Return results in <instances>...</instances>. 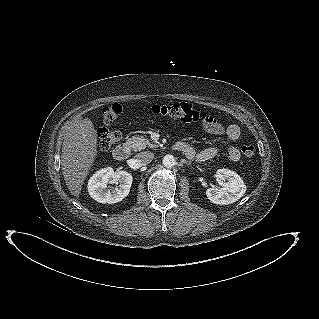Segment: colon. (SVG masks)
<instances>
[{"label": "colon", "instance_id": "1", "mask_svg": "<svg viewBox=\"0 0 319 319\" xmlns=\"http://www.w3.org/2000/svg\"><path fill=\"white\" fill-rule=\"evenodd\" d=\"M122 112V106L118 103L107 105L102 110L104 122L112 123ZM149 112L154 115L167 117L182 122L205 121L209 118L208 114L185 102H176L166 105H153ZM120 139V133L116 130L101 128L98 131V141L101 149H110ZM241 153L245 158L251 159L255 155V148L250 144H244Z\"/></svg>", "mask_w": 319, "mask_h": 319}]
</instances>
